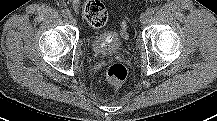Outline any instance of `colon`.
I'll use <instances>...</instances> for the list:
<instances>
[{"instance_id": "colon-1", "label": "colon", "mask_w": 217, "mask_h": 121, "mask_svg": "<svg viewBox=\"0 0 217 121\" xmlns=\"http://www.w3.org/2000/svg\"><path fill=\"white\" fill-rule=\"evenodd\" d=\"M80 11L83 18L93 27H103L108 19V12L104 3L100 0H86L79 3ZM121 36L128 39L126 23H121ZM128 75L127 68L121 63H114L106 70V79L109 84L119 86Z\"/></svg>"}]
</instances>
